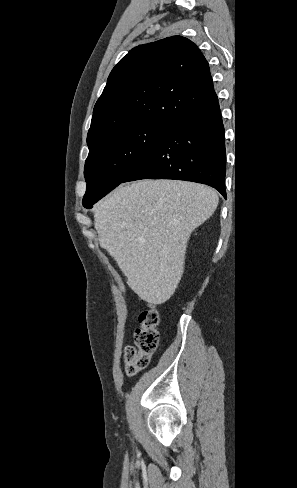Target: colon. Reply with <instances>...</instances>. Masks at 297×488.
<instances>
[{
	"instance_id": "obj_1",
	"label": "colon",
	"mask_w": 297,
	"mask_h": 488,
	"mask_svg": "<svg viewBox=\"0 0 297 488\" xmlns=\"http://www.w3.org/2000/svg\"><path fill=\"white\" fill-rule=\"evenodd\" d=\"M158 321V311L152 304L140 313L139 326L135 331L136 348L127 346L124 351L125 371L128 375L147 367L156 352L160 340Z\"/></svg>"
}]
</instances>
